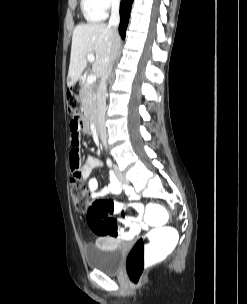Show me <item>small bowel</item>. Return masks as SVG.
Segmentation results:
<instances>
[{
  "label": "small bowel",
  "instance_id": "small-bowel-1",
  "mask_svg": "<svg viewBox=\"0 0 247 304\" xmlns=\"http://www.w3.org/2000/svg\"><path fill=\"white\" fill-rule=\"evenodd\" d=\"M70 119L80 120H68V127H70V141L69 146V161L72 171V177H78L81 180L86 181V188L91 194L93 199L105 197L110 194H119L124 191L130 199H137V194L133 188L123 186L120 184L116 177L109 173V184L99 189L98 180L96 178H90L91 172L101 165V160L94 156H89L84 161L82 149L79 148L81 138L84 132H89V127L86 121L81 120V112H70ZM138 228H146L141 222Z\"/></svg>",
  "mask_w": 247,
  "mask_h": 304
}]
</instances>
